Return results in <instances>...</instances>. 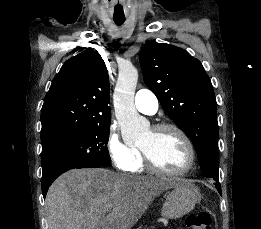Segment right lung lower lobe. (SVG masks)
I'll use <instances>...</instances> for the list:
<instances>
[{
  "instance_id": "98d812e1",
  "label": "right lung lower lobe",
  "mask_w": 261,
  "mask_h": 229,
  "mask_svg": "<svg viewBox=\"0 0 261 229\" xmlns=\"http://www.w3.org/2000/svg\"><path fill=\"white\" fill-rule=\"evenodd\" d=\"M101 166H85V167H81V168H99ZM70 169H61V170H56L53 172H50L46 175H43L41 183H42V193H43V197H46L48 188L50 187V185L53 183V181L59 177L61 174H63L64 172L68 171Z\"/></svg>"
}]
</instances>
